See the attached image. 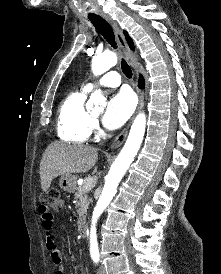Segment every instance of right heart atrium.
Returning <instances> with one entry per match:
<instances>
[{"instance_id":"d8ad5b80","label":"right heart atrium","mask_w":221,"mask_h":274,"mask_svg":"<svg viewBox=\"0 0 221 274\" xmlns=\"http://www.w3.org/2000/svg\"><path fill=\"white\" fill-rule=\"evenodd\" d=\"M92 131L98 133L100 131L97 120L92 121Z\"/></svg>"}]
</instances>
